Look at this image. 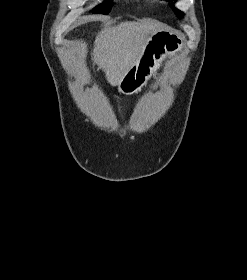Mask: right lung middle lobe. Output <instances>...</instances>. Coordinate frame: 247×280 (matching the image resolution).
<instances>
[{
	"instance_id": "right-lung-middle-lobe-1",
	"label": "right lung middle lobe",
	"mask_w": 247,
	"mask_h": 280,
	"mask_svg": "<svg viewBox=\"0 0 247 280\" xmlns=\"http://www.w3.org/2000/svg\"><path fill=\"white\" fill-rule=\"evenodd\" d=\"M111 4H112L111 0H106L99 7H97L93 12L101 13V14H108L111 9Z\"/></svg>"
}]
</instances>
